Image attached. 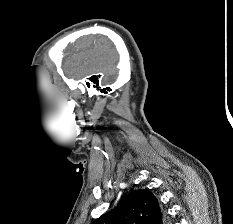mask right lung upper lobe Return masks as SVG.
<instances>
[{"mask_svg": "<svg viewBox=\"0 0 233 224\" xmlns=\"http://www.w3.org/2000/svg\"><path fill=\"white\" fill-rule=\"evenodd\" d=\"M158 200L148 190L125 195L112 211L105 213L92 224H167Z\"/></svg>", "mask_w": 233, "mask_h": 224, "instance_id": "1", "label": "right lung upper lobe"}]
</instances>
